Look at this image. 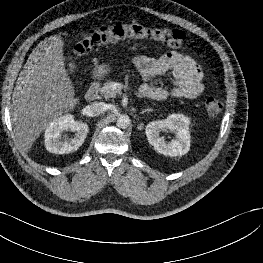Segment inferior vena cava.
<instances>
[{"instance_id":"obj_1","label":"inferior vena cava","mask_w":263,"mask_h":263,"mask_svg":"<svg viewBox=\"0 0 263 263\" xmlns=\"http://www.w3.org/2000/svg\"><path fill=\"white\" fill-rule=\"evenodd\" d=\"M106 104L103 102H93L86 107L88 116H99L106 111Z\"/></svg>"}]
</instances>
